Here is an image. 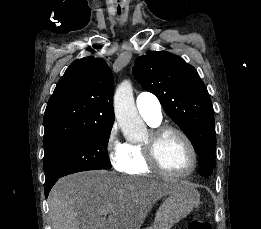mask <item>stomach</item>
<instances>
[{
    "mask_svg": "<svg viewBox=\"0 0 261 229\" xmlns=\"http://www.w3.org/2000/svg\"><path fill=\"white\" fill-rule=\"evenodd\" d=\"M174 193L162 203L152 227L148 229H171L175 223L185 219L195 205L199 203L200 195L192 183L188 181H170Z\"/></svg>",
    "mask_w": 261,
    "mask_h": 229,
    "instance_id": "stomach-1",
    "label": "stomach"
}]
</instances>
